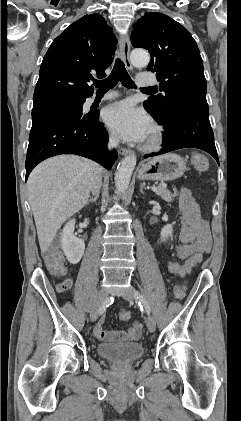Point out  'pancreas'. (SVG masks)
Wrapping results in <instances>:
<instances>
[{"label": "pancreas", "instance_id": "cf45deb5", "mask_svg": "<svg viewBox=\"0 0 241 421\" xmlns=\"http://www.w3.org/2000/svg\"><path fill=\"white\" fill-rule=\"evenodd\" d=\"M156 191L155 193L157 195H159L161 198H163L164 200L171 202L174 200L175 196L164 186L162 185H158L156 187Z\"/></svg>", "mask_w": 241, "mask_h": 421}]
</instances>
